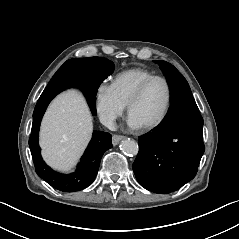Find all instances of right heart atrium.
Returning a JSON list of instances; mask_svg holds the SVG:
<instances>
[{
	"label": "right heart atrium",
	"mask_w": 239,
	"mask_h": 239,
	"mask_svg": "<svg viewBox=\"0 0 239 239\" xmlns=\"http://www.w3.org/2000/svg\"><path fill=\"white\" fill-rule=\"evenodd\" d=\"M95 108L100 120L112 126L123 114L126 106L118 99L110 84H100L95 90Z\"/></svg>",
	"instance_id": "d8ad5b80"
}]
</instances>
